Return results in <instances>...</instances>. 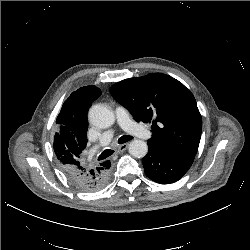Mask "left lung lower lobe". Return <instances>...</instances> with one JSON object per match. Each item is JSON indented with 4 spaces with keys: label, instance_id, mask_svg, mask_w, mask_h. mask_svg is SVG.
Returning <instances> with one entry per match:
<instances>
[{
    "label": "left lung lower lobe",
    "instance_id": "0a47b994",
    "mask_svg": "<svg viewBox=\"0 0 250 250\" xmlns=\"http://www.w3.org/2000/svg\"><path fill=\"white\" fill-rule=\"evenodd\" d=\"M195 155L166 150L148 142V153L142 159L147 177L160 184L178 181L189 170Z\"/></svg>",
    "mask_w": 250,
    "mask_h": 250
}]
</instances>
